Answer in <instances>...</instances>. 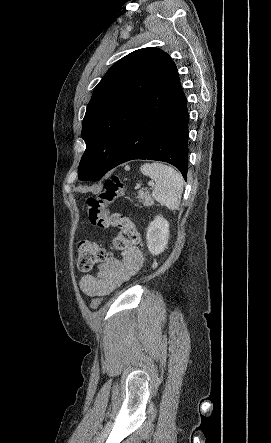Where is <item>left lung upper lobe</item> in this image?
Returning <instances> with one entry per match:
<instances>
[{"label":"left lung upper lobe","instance_id":"5c2ea615","mask_svg":"<svg viewBox=\"0 0 271 443\" xmlns=\"http://www.w3.org/2000/svg\"><path fill=\"white\" fill-rule=\"evenodd\" d=\"M171 60L158 48H142L117 61L97 84L82 123L80 180L97 181L109 171L134 113Z\"/></svg>","mask_w":271,"mask_h":443}]
</instances>
